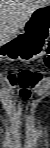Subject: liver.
I'll use <instances>...</instances> for the list:
<instances>
[{
	"mask_svg": "<svg viewBox=\"0 0 50 148\" xmlns=\"http://www.w3.org/2000/svg\"><path fill=\"white\" fill-rule=\"evenodd\" d=\"M49 5L48 0H1L0 42L14 38L31 15L39 8Z\"/></svg>",
	"mask_w": 50,
	"mask_h": 148,
	"instance_id": "1",
	"label": "liver"
}]
</instances>
